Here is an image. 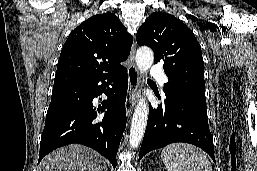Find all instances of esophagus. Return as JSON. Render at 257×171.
<instances>
[{"mask_svg": "<svg viewBox=\"0 0 257 171\" xmlns=\"http://www.w3.org/2000/svg\"><path fill=\"white\" fill-rule=\"evenodd\" d=\"M135 51H136V43L133 42L129 62L130 65L128 67V92L126 98V114L130 116L133 110V107L136 103V96L138 93L139 85H140V77L139 72L135 64Z\"/></svg>", "mask_w": 257, "mask_h": 171, "instance_id": "esophagus-1", "label": "esophagus"}]
</instances>
